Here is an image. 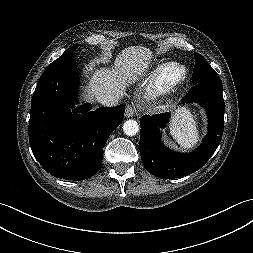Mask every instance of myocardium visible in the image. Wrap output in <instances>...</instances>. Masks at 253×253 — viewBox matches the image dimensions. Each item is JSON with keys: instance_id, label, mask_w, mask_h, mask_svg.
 I'll use <instances>...</instances> for the list:
<instances>
[{"instance_id": "f54148a6", "label": "myocardium", "mask_w": 253, "mask_h": 253, "mask_svg": "<svg viewBox=\"0 0 253 253\" xmlns=\"http://www.w3.org/2000/svg\"><path fill=\"white\" fill-rule=\"evenodd\" d=\"M188 76L186 67L177 62L162 65L155 73L151 82V94L167 93L182 86Z\"/></svg>"}]
</instances>
